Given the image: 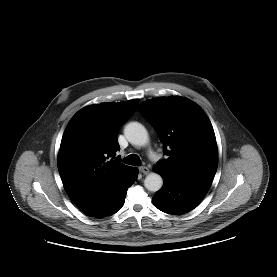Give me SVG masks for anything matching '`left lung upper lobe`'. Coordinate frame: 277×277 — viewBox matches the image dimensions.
<instances>
[{
    "label": "left lung upper lobe",
    "mask_w": 277,
    "mask_h": 277,
    "mask_svg": "<svg viewBox=\"0 0 277 277\" xmlns=\"http://www.w3.org/2000/svg\"><path fill=\"white\" fill-rule=\"evenodd\" d=\"M138 111L155 128L168 155L154 170L180 181L210 186L218 166V149L204 111L177 96L145 101Z\"/></svg>",
    "instance_id": "left-lung-upper-lobe-1"
}]
</instances>
